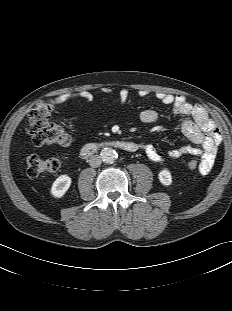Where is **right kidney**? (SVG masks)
<instances>
[{
    "mask_svg": "<svg viewBox=\"0 0 232 311\" xmlns=\"http://www.w3.org/2000/svg\"><path fill=\"white\" fill-rule=\"evenodd\" d=\"M71 185V178L68 175H60L52 184L51 194L61 198Z\"/></svg>",
    "mask_w": 232,
    "mask_h": 311,
    "instance_id": "1",
    "label": "right kidney"
}]
</instances>
